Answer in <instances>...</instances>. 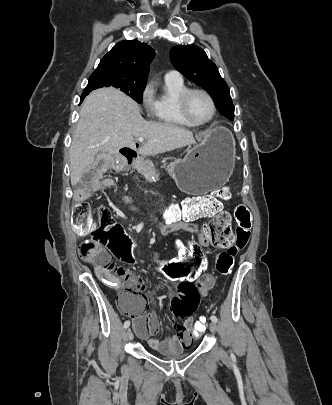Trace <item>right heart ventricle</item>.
<instances>
[{
	"label": "right heart ventricle",
	"mask_w": 332,
	"mask_h": 405,
	"mask_svg": "<svg viewBox=\"0 0 332 405\" xmlns=\"http://www.w3.org/2000/svg\"><path fill=\"white\" fill-rule=\"evenodd\" d=\"M187 89L183 80H164L163 90L160 94L153 96L154 105L151 111L152 117L159 123L193 127L187 122L179 111L178 99L182 92Z\"/></svg>",
	"instance_id": "1"
}]
</instances>
